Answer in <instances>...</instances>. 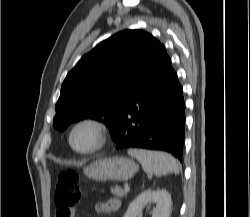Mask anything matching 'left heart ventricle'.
Instances as JSON below:
<instances>
[{"mask_svg":"<svg viewBox=\"0 0 250 217\" xmlns=\"http://www.w3.org/2000/svg\"><path fill=\"white\" fill-rule=\"evenodd\" d=\"M72 141L76 148H87L93 143L92 131L88 128H81L75 132Z\"/></svg>","mask_w":250,"mask_h":217,"instance_id":"obj_1","label":"left heart ventricle"}]
</instances>
